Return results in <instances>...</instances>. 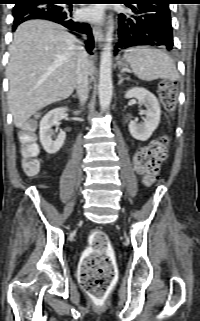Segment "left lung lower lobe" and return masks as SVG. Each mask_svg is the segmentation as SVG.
I'll list each match as a JSON object with an SVG mask.
<instances>
[{
	"label": "left lung lower lobe",
	"instance_id": "left-lung-lower-lobe-1",
	"mask_svg": "<svg viewBox=\"0 0 200 321\" xmlns=\"http://www.w3.org/2000/svg\"><path fill=\"white\" fill-rule=\"evenodd\" d=\"M172 2L173 0H126L124 4L130 7L132 12L119 15L115 53L140 45L173 49V31L168 6Z\"/></svg>",
	"mask_w": 200,
	"mask_h": 321
}]
</instances>
